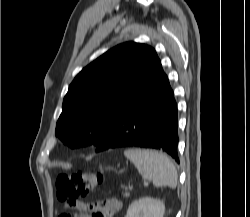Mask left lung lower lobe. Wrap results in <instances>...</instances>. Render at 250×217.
I'll list each match as a JSON object with an SVG mask.
<instances>
[{"label":"left lung lower lobe","mask_w":250,"mask_h":217,"mask_svg":"<svg viewBox=\"0 0 250 217\" xmlns=\"http://www.w3.org/2000/svg\"><path fill=\"white\" fill-rule=\"evenodd\" d=\"M177 105L159 58L138 84L96 152L119 147L160 149L178 163Z\"/></svg>","instance_id":"1"}]
</instances>
